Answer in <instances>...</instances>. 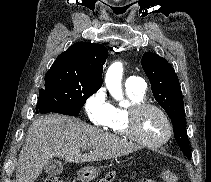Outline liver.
<instances>
[{"label": "liver", "instance_id": "6515ba94", "mask_svg": "<svg viewBox=\"0 0 211 182\" xmlns=\"http://www.w3.org/2000/svg\"><path fill=\"white\" fill-rule=\"evenodd\" d=\"M91 147L89 153L81 149ZM139 147L81 120L49 114L33 122L16 164V182H34L54 157L87 163L128 155Z\"/></svg>", "mask_w": 211, "mask_h": 182}]
</instances>
